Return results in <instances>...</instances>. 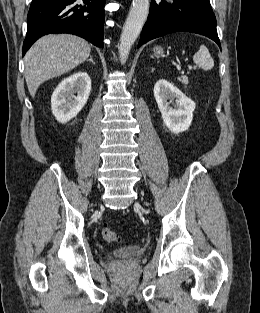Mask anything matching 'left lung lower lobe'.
Listing matches in <instances>:
<instances>
[{
    "label": "left lung lower lobe",
    "mask_w": 260,
    "mask_h": 313,
    "mask_svg": "<svg viewBox=\"0 0 260 313\" xmlns=\"http://www.w3.org/2000/svg\"><path fill=\"white\" fill-rule=\"evenodd\" d=\"M173 32L201 34L215 41L221 48L216 18L209 0H151L149 16L138 47Z\"/></svg>",
    "instance_id": "0a47b994"
}]
</instances>
